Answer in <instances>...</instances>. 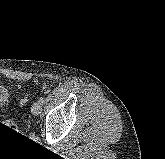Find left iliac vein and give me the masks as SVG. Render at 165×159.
Instances as JSON below:
<instances>
[{
	"label": "left iliac vein",
	"instance_id": "1",
	"mask_svg": "<svg viewBox=\"0 0 165 159\" xmlns=\"http://www.w3.org/2000/svg\"><path fill=\"white\" fill-rule=\"evenodd\" d=\"M41 107H42V104L39 101H37L33 105V111L38 112L41 109Z\"/></svg>",
	"mask_w": 165,
	"mask_h": 159
}]
</instances>
